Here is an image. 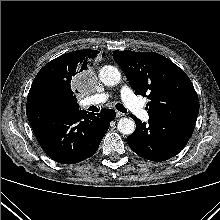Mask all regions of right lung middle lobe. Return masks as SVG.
<instances>
[{"label":"right lung middle lobe","mask_w":220,"mask_h":220,"mask_svg":"<svg viewBox=\"0 0 220 220\" xmlns=\"http://www.w3.org/2000/svg\"><path fill=\"white\" fill-rule=\"evenodd\" d=\"M32 102L71 108L64 94L51 87H43L38 89L33 94Z\"/></svg>","instance_id":"right-lung-middle-lobe-1"}]
</instances>
